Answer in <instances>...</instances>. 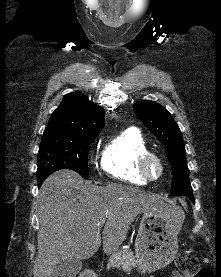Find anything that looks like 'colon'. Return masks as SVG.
Listing matches in <instances>:
<instances>
[{"instance_id":"obj_1","label":"colon","mask_w":221,"mask_h":277,"mask_svg":"<svg viewBox=\"0 0 221 277\" xmlns=\"http://www.w3.org/2000/svg\"><path fill=\"white\" fill-rule=\"evenodd\" d=\"M175 267V277H214L212 269L200 267L199 260L187 253L176 257Z\"/></svg>"}]
</instances>
